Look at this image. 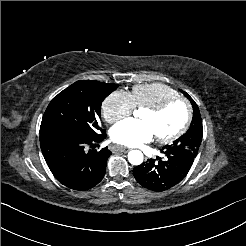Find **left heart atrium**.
I'll list each match as a JSON object with an SVG mask.
<instances>
[{"label": "left heart atrium", "mask_w": 246, "mask_h": 246, "mask_svg": "<svg viewBox=\"0 0 246 246\" xmlns=\"http://www.w3.org/2000/svg\"><path fill=\"white\" fill-rule=\"evenodd\" d=\"M155 136L150 126L139 120L128 119L115 125L111 131V139L120 145L140 146Z\"/></svg>", "instance_id": "obj_1"}]
</instances>
